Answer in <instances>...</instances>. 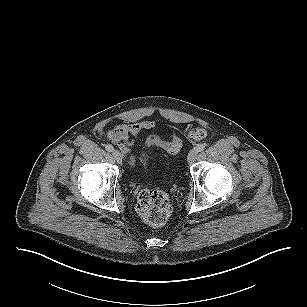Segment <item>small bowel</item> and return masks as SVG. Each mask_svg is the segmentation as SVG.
Masks as SVG:
<instances>
[{
    "instance_id": "c3829d8e",
    "label": "small bowel",
    "mask_w": 307,
    "mask_h": 307,
    "mask_svg": "<svg viewBox=\"0 0 307 307\" xmlns=\"http://www.w3.org/2000/svg\"><path fill=\"white\" fill-rule=\"evenodd\" d=\"M155 127L151 120H143L134 123H121L109 131V138L117 144L120 150L132 163L134 161L131 147L142 130H149Z\"/></svg>"
}]
</instances>
